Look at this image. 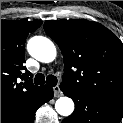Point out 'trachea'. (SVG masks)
Masks as SVG:
<instances>
[{
  "instance_id": "obj_1",
  "label": "trachea",
  "mask_w": 123,
  "mask_h": 123,
  "mask_svg": "<svg viewBox=\"0 0 123 123\" xmlns=\"http://www.w3.org/2000/svg\"><path fill=\"white\" fill-rule=\"evenodd\" d=\"M34 83L36 85H41V84L47 83L51 86H56L57 78L54 75H48L47 78L45 79L43 74L38 73L34 78Z\"/></svg>"
}]
</instances>
